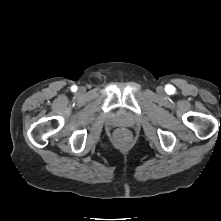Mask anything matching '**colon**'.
I'll use <instances>...</instances> for the list:
<instances>
[{"label":"colon","mask_w":221,"mask_h":221,"mask_svg":"<svg viewBox=\"0 0 221 221\" xmlns=\"http://www.w3.org/2000/svg\"><path fill=\"white\" fill-rule=\"evenodd\" d=\"M115 139L119 144H125L130 139V134L126 129H119L115 134Z\"/></svg>","instance_id":"5ec220e1"}]
</instances>
